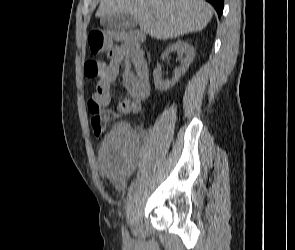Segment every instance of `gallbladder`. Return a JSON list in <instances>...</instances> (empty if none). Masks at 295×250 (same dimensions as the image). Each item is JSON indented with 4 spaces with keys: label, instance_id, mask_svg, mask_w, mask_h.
<instances>
[{
    "label": "gallbladder",
    "instance_id": "gallbladder-1",
    "mask_svg": "<svg viewBox=\"0 0 295 250\" xmlns=\"http://www.w3.org/2000/svg\"><path fill=\"white\" fill-rule=\"evenodd\" d=\"M100 24L110 30H126L134 28L137 21L129 14H114L102 17Z\"/></svg>",
    "mask_w": 295,
    "mask_h": 250
}]
</instances>
